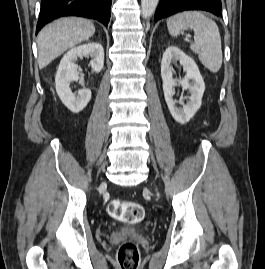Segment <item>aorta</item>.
I'll use <instances>...</instances> for the list:
<instances>
[{
  "label": "aorta",
  "mask_w": 265,
  "mask_h": 269,
  "mask_svg": "<svg viewBox=\"0 0 265 269\" xmlns=\"http://www.w3.org/2000/svg\"><path fill=\"white\" fill-rule=\"evenodd\" d=\"M159 0H141V11L143 18H149L153 15Z\"/></svg>",
  "instance_id": "obj_1"
}]
</instances>
